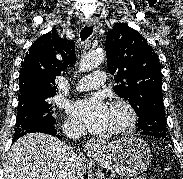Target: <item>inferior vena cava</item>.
I'll use <instances>...</instances> for the list:
<instances>
[{"instance_id":"inferior-vena-cava-1","label":"inferior vena cava","mask_w":183,"mask_h":179,"mask_svg":"<svg viewBox=\"0 0 183 179\" xmlns=\"http://www.w3.org/2000/svg\"><path fill=\"white\" fill-rule=\"evenodd\" d=\"M65 134L69 138H79V136H81V130L77 128H71L68 129ZM67 172L68 179H84L81 158L74 151L71 152V155L68 159Z\"/></svg>"}]
</instances>
